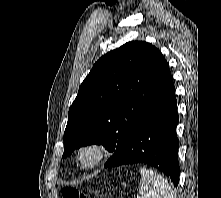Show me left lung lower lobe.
Returning a JSON list of instances; mask_svg holds the SVG:
<instances>
[{"label":"left lung lower lobe","instance_id":"0a47b994","mask_svg":"<svg viewBox=\"0 0 221 198\" xmlns=\"http://www.w3.org/2000/svg\"><path fill=\"white\" fill-rule=\"evenodd\" d=\"M178 120L175 88L170 77L160 99L130 134L122 148L105 163V167L148 164L170 177L177 186L180 172L179 140L176 136Z\"/></svg>","mask_w":221,"mask_h":198}]
</instances>
